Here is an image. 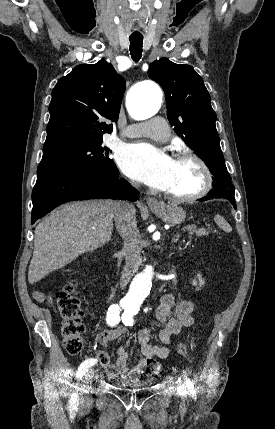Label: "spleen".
<instances>
[{
    "mask_svg": "<svg viewBox=\"0 0 275 429\" xmlns=\"http://www.w3.org/2000/svg\"><path fill=\"white\" fill-rule=\"evenodd\" d=\"M214 220H215L216 224L225 232H231L232 231L231 226L229 225L228 222H226V220L222 216L216 215Z\"/></svg>",
    "mask_w": 275,
    "mask_h": 429,
    "instance_id": "3e777b00",
    "label": "spleen"
}]
</instances>
